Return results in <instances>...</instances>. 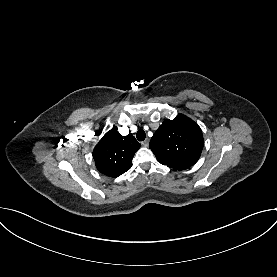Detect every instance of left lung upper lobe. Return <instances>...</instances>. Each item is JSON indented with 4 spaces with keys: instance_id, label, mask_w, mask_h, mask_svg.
I'll return each mask as SVG.
<instances>
[{
    "instance_id": "1",
    "label": "left lung upper lobe",
    "mask_w": 277,
    "mask_h": 277,
    "mask_svg": "<svg viewBox=\"0 0 277 277\" xmlns=\"http://www.w3.org/2000/svg\"><path fill=\"white\" fill-rule=\"evenodd\" d=\"M204 145L200 127L183 114L166 119L151 138L149 147L157 160L174 170L194 165Z\"/></svg>"
}]
</instances>
